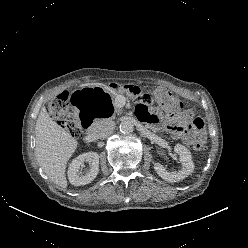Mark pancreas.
Masks as SVG:
<instances>
[{"label":"pancreas","instance_id":"obj_1","mask_svg":"<svg viewBox=\"0 0 248 248\" xmlns=\"http://www.w3.org/2000/svg\"><path fill=\"white\" fill-rule=\"evenodd\" d=\"M121 112H122L121 109H119V108L116 109L117 114H121Z\"/></svg>","mask_w":248,"mask_h":248}]
</instances>
